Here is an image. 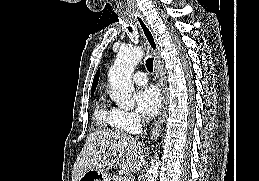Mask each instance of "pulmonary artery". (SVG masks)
Here are the masks:
<instances>
[{
	"instance_id": "obj_1",
	"label": "pulmonary artery",
	"mask_w": 259,
	"mask_h": 181,
	"mask_svg": "<svg viewBox=\"0 0 259 181\" xmlns=\"http://www.w3.org/2000/svg\"><path fill=\"white\" fill-rule=\"evenodd\" d=\"M133 82L137 85H145L148 81L146 73L143 71H138L133 75Z\"/></svg>"
}]
</instances>
